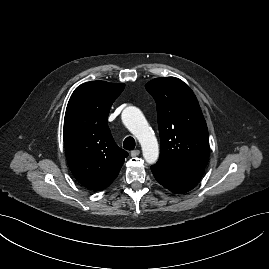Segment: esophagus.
Returning a JSON list of instances; mask_svg holds the SVG:
<instances>
[{
    "mask_svg": "<svg viewBox=\"0 0 269 269\" xmlns=\"http://www.w3.org/2000/svg\"><path fill=\"white\" fill-rule=\"evenodd\" d=\"M130 154H131L132 157H136V156H138L140 154V151L139 150H133V151H131Z\"/></svg>",
    "mask_w": 269,
    "mask_h": 269,
    "instance_id": "esophagus-1",
    "label": "esophagus"
}]
</instances>
